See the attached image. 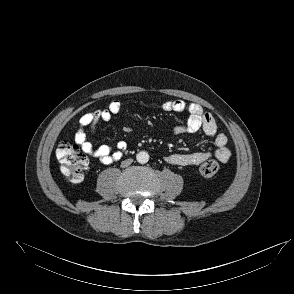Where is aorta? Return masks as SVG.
Here are the masks:
<instances>
[{"instance_id":"aorta-1","label":"aorta","mask_w":294,"mask_h":294,"mask_svg":"<svg viewBox=\"0 0 294 294\" xmlns=\"http://www.w3.org/2000/svg\"><path fill=\"white\" fill-rule=\"evenodd\" d=\"M136 159L140 164H145L149 161V154L146 151H140L137 153Z\"/></svg>"}]
</instances>
